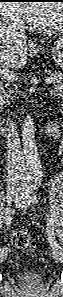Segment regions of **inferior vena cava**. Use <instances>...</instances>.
<instances>
[{"mask_svg": "<svg viewBox=\"0 0 63 297\" xmlns=\"http://www.w3.org/2000/svg\"><path fill=\"white\" fill-rule=\"evenodd\" d=\"M1 32L5 31L11 32L18 37L25 38V31L22 26L21 20L14 15H4L1 18ZM7 162L8 167L14 174L20 176L22 172L25 171V162L21 154V142L19 134L17 132V127L12 119L8 118L7 122Z\"/></svg>", "mask_w": 63, "mask_h": 297, "instance_id": "1", "label": "inferior vena cava"}]
</instances>
